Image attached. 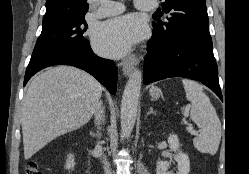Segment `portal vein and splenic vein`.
Here are the masks:
<instances>
[{
	"label": "portal vein and splenic vein",
	"instance_id": "obj_1",
	"mask_svg": "<svg viewBox=\"0 0 249 174\" xmlns=\"http://www.w3.org/2000/svg\"><path fill=\"white\" fill-rule=\"evenodd\" d=\"M187 130L192 134V135H197V131L193 130V128L191 126L187 127Z\"/></svg>",
	"mask_w": 249,
	"mask_h": 174
}]
</instances>
